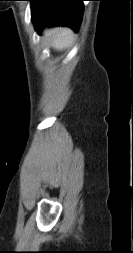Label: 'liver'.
<instances>
[{
	"label": "liver",
	"instance_id": "6515ba94",
	"mask_svg": "<svg viewBox=\"0 0 133 253\" xmlns=\"http://www.w3.org/2000/svg\"><path fill=\"white\" fill-rule=\"evenodd\" d=\"M45 36L49 39L51 45L58 50L71 45L74 35L68 28H53L45 31Z\"/></svg>",
	"mask_w": 133,
	"mask_h": 253
}]
</instances>
